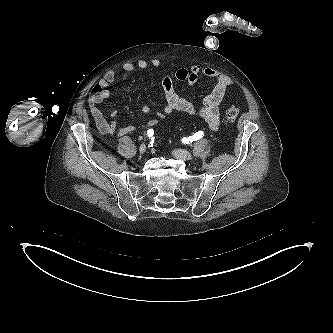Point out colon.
<instances>
[{
	"label": "colon",
	"instance_id": "5ec220e1",
	"mask_svg": "<svg viewBox=\"0 0 333 333\" xmlns=\"http://www.w3.org/2000/svg\"><path fill=\"white\" fill-rule=\"evenodd\" d=\"M240 113V110L237 107H229L226 111H225V119L227 121H234L238 115Z\"/></svg>",
	"mask_w": 333,
	"mask_h": 333
}]
</instances>
